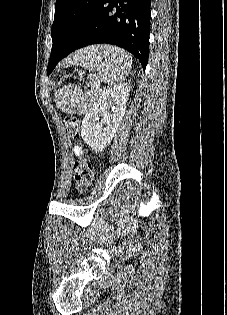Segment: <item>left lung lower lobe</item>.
Wrapping results in <instances>:
<instances>
[{"label": "left lung lower lobe", "mask_w": 227, "mask_h": 315, "mask_svg": "<svg viewBox=\"0 0 227 315\" xmlns=\"http://www.w3.org/2000/svg\"><path fill=\"white\" fill-rule=\"evenodd\" d=\"M151 0H102L98 10L77 38L62 51L52 48L48 71L73 51L106 43L132 53L146 68L149 54Z\"/></svg>", "instance_id": "left-lung-lower-lobe-1"}]
</instances>
